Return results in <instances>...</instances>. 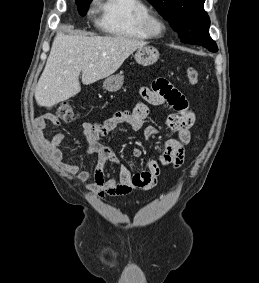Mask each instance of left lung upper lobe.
Returning a JSON list of instances; mask_svg holds the SVG:
<instances>
[{
	"label": "left lung upper lobe",
	"instance_id": "1",
	"mask_svg": "<svg viewBox=\"0 0 259 283\" xmlns=\"http://www.w3.org/2000/svg\"><path fill=\"white\" fill-rule=\"evenodd\" d=\"M172 25L181 42L195 45L215 43L209 35L210 19L205 0H149Z\"/></svg>",
	"mask_w": 259,
	"mask_h": 283
}]
</instances>
